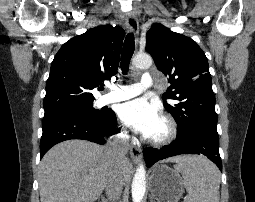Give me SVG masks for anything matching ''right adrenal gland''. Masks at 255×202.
<instances>
[{"label":"right adrenal gland","mask_w":255,"mask_h":202,"mask_svg":"<svg viewBox=\"0 0 255 202\" xmlns=\"http://www.w3.org/2000/svg\"><path fill=\"white\" fill-rule=\"evenodd\" d=\"M102 201L103 202H108V200H106L104 197H102Z\"/></svg>","instance_id":"1"}]
</instances>
